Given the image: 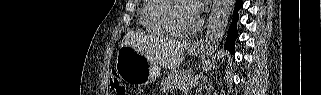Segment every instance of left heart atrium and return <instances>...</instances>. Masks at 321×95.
Returning a JSON list of instances; mask_svg holds the SVG:
<instances>
[{"instance_id":"obj_1","label":"left heart atrium","mask_w":321,"mask_h":95,"mask_svg":"<svg viewBox=\"0 0 321 95\" xmlns=\"http://www.w3.org/2000/svg\"><path fill=\"white\" fill-rule=\"evenodd\" d=\"M190 2L192 3V9L195 14L201 11L204 8L205 4L207 3V1H203V0H193Z\"/></svg>"}]
</instances>
